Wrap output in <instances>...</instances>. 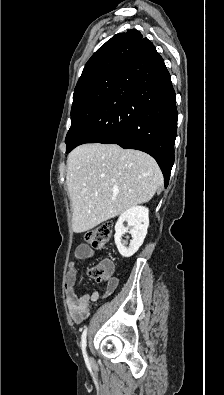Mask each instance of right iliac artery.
Listing matches in <instances>:
<instances>
[{"label":"right iliac artery","instance_id":"82829eb1","mask_svg":"<svg viewBox=\"0 0 224 395\" xmlns=\"http://www.w3.org/2000/svg\"><path fill=\"white\" fill-rule=\"evenodd\" d=\"M86 336H87V328L84 329L82 335H81V346H82V351L85 359H88L87 357V352H86Z\"/></svg>","mask_w":224,"mask_h":395}]
</instances>
